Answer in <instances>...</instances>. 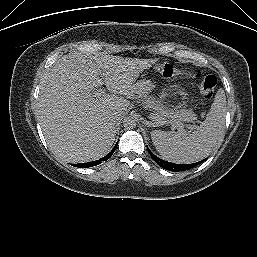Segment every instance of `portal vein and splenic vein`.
<instances>
[{
	"instance_id": "obj_1",
	"label": "portal vein and splenic vein",
	"mask_w": 257,
	"mask_h": 257,
	"mask_svg": "<svg viewBox=\"0 0 257 257\" xmlns=\"http://www.w3.org/2000/svg\"><path fill=\"white\" fill-rule=\"evenodd\" d=\"M104 93H105L104 90L100 88V89L93 92V97H101ZM151 118L156 119V116L152 115ZM163 120H165V119H163ZM165 122H167V121L165 120L164 123ZM168 123H171L172 128H177L179 134H184V127L185 126L181 121H175V122H170L169 121ZM189 128L192 130L194 128V126H190Z\"/></svg>"
}]
</instances>
